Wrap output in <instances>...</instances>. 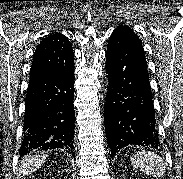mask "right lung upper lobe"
Here are the masks:
<instances>
[{"label": "right lung upper lobe", "mask_w": 183, "mask_h": 179, "mask_svg": "<svg viewBox=\"0 0 183 179\" xmlns=\"http://www.w3.org/2000/svg\"><path fill=\"white\" fill-rule=\"evenodd\" d=\"M74 71V53L69 40L60 33L48 35L38 44L30 77L66 75Z\"/></svg>", "instance_id": "cb5924a9"}]
</instances>
